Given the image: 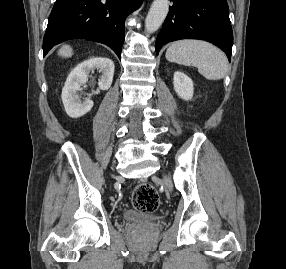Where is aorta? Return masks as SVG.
<instances>
[{"instance_id":"aorta-1","label":"aorta","mask_w":286,"mask_h":269,"mask_svg":"<svg viewBox=\"0 0 286 269\" xmlns=\"http://www.w3.org/2000/svg\"><path fill=\"white\" fill-rule=\"evenodd\" d=\"M169 11L168 0H154L145 19V30L148 34L157 31L164 22Z\"/></svg>"}]
</instances>
